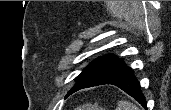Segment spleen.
Returning <instances> with one entry per match:
<instances>
[{"instance_id":"3e777b00","label":"spleen","mask_w":171,"mask_h":110,"mask_svg":"<svg viewBox=\"0 0 171 110\" xmlns=\"http://www.w3.org/2000/svg\"><path fill=\"white\" fill-rule=\"evenodd\" d=\"M116 110H139V109L135 104H133L129 101L120 100V101H118Z\"/></svg>"}]
</instances>
